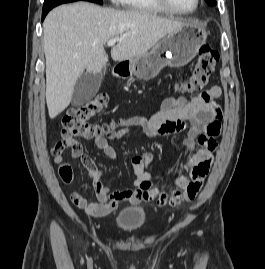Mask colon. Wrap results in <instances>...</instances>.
Masks as SVG:
<instances>
[{
    "instance_id": "5ec220e1",
    "label": "colon",
    "mask_w": 265,
    "mask_h": 269,
    "mask_svg": "<svg viewBox=\"0 0 265 269\" xmlns=\"http://www.w3.org/2000/svg\"><path fill=\"white\" fill-rule=\"evenodd\" d=\"M219 60V53L211 44H203L199 51L195 68L182 87L184 92H195L205 88L215 71V66ZM107 104V96L98 95L82 106L72 108L62 119L61 138L54 145L53 152L60 154L65 149H71L77 137L87 138L100 135L101 133L115 132L120 126L114 121L106 126H97L90 120L99 114ZM220 131L218 121L211 123L208 134L217 136ZM61 179L69 183L72 180L73 171L69 165H62L59 169ZM200 189L191 186L187 192L175 190L172 192H161L156 189L149 191L150 199H156L161 205H180L185 200L193 199Z\"/></svg>"
}]
</instances>
